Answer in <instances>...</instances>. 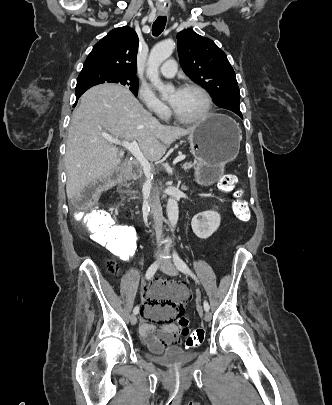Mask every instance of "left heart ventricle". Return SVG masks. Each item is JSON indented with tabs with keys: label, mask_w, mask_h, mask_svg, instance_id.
Segmentation results:
<instances>
[{
	"label": "left heart ventricle",
	"mask_w": 332,
	"mask_h": 405,
	"mask_svg": "<svg viewBox=\"0 0 332 405\" xmlns=\"http://www.w3.org/2000/svg\"><path fill=\"white\" fill-rule=\"evenodd\" d=\"M169 102L183 118L191 119L200 115L206 105L204 97L196 90H176L169 96Z\"/></svg>",
	"instance_id": "1"
}]
</instances>
